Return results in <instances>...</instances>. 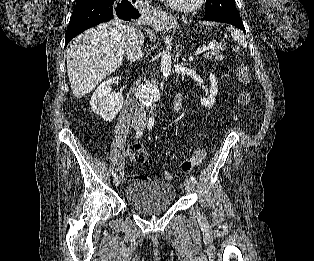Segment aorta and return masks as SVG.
<instances>
[{
  "mask_svg": "<svg viewBox=\"0 0 314 261\" xmlns=\"http://www.w3.org/2000/svg\"><path fill=\"white\" fill-rule=\"evenodd\" d=\"M161 71L164 77H168L171 72V53L165 50L161 54Z\"/></svg>",
  "mask_w": 314,
  "mask_h": 261,
  "instance_id": "obj_1",
  "label": "aorta"
}]
</instances>
